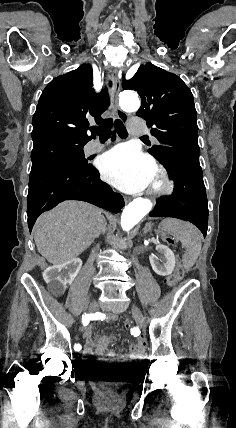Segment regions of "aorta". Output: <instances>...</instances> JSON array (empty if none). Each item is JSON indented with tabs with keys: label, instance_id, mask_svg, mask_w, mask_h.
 <instances>
[{
	"label": "aorta",
	"instance_id": "obj_1",
	"mask_svg": "<svg viewBox=\"0 0 236 428\" xmlns=\"http://www.w3.org/2000/svg\"><path fill=\"white\" fill-rule=\"evenodd\" d=\"M120 107L126 112L137 111L140 107L138 95L134 91H123L119 96ZM152 209L148 199L137 198L125 207L121 215V227L124 231L131 230Z\"/></svg>",
	"mask_w": 236,
	"mask_h": 428
}]
</instances>
